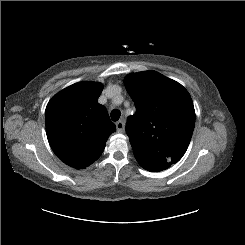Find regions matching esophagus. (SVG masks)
Listing matches in <instances>:
<instances>
[{
	"mask_svg": "<svg viewBox=\"0 0 245 245\" xmlns=\"http://www.w3.org/2000/svg\"><path fill=\"white\" fill-rule=\"evenodd\" d=\"M116 128L118 132H124L125 130V123L123 120H119L118 122H116Z\"/></svg>",
	"mask_w": 245,
	"mask_h": 245,
	"instance_id": "obj_1",
	"label": "esophagus"
}]
</instances>
